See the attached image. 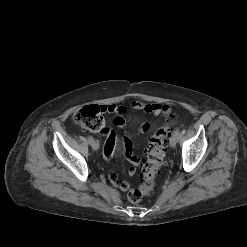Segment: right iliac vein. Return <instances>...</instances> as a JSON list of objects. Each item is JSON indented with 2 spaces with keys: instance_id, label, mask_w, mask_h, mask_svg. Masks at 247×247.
I'll list each match as a JSON object with an SVG mask.
<instances>
[{
  "instance_id": "1",
  "label": "right iliac vein",
  "mask_w": 247,
  "mask_h": 247,
  "mask_svg": "<svg viewBox=\"0 0 247 247\" xmlns=\"http://www.w3.org/2000/svg\"><path fill=\"white\" fill-rule=\"evenodd\" d=\"M91 147L94 149V150H98L99 149V144L98 142H96L95 140H93L91 143H90Z\"/></svg>"
}]
</instances>
